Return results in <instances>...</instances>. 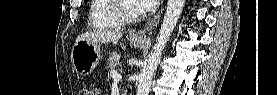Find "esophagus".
I'll return each instance as SVG.
<instances>
[{
  "label": "esophagus",
  "instance_id": "34e87169",
  "mask_svg": "<svg viewBox=\"0 0 277 95\" xmlns=\"http://www.w3.org/2000/svg\"><path fill=\"white\" fill-rule=\"evenodd\" d=\"M161 12H158L142 29L138 30L134 34L135 37L139 39H145L151 30L159 24Z\"/></svg>",
  "mask_w": 277,
  "mask_h": 95
}]
</instances>
